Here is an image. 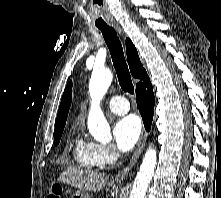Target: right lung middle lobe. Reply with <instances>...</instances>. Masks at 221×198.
Returning <instances> with one entry per match:
<instances>
[{"instance_id": "right-lung-middle-lobe-1", "label": "right lung middle lobe", "mask_w": 221, "mask_h": 198, "mask_svg": "<svg viewBox=\"0 0 221 198\" xmlns=\"http://www.w3.org/2000/svg\"><path fill=\"white\" fill-rule=\"evenodd\" d=\"M62 132H63V129L55 132V135H54L55 145L59 144Z\"/></svg>"}]
</instances>
